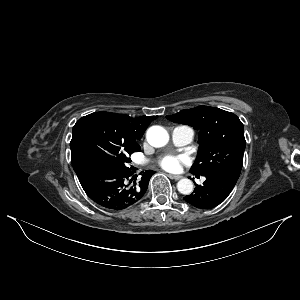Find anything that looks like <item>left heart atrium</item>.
Wrapping results in <instances>:
<instances>
[{
	"label": "left heart atrium",
	"instance_id": "1",
	"mask_svg": "<svg viewBox=\"0 0 300 300\" xmlns=\"http://www.w3.org/2000/svg\"><path fill=\"white\" fill-rule=\"evenodd\" d=\"M188 159L182 155H165L158 161L159 165L167 171H178L182 164H186Z\"/></svg>",
	"mask_w": 300,
	"mask_h": 300
}]
</instances>
